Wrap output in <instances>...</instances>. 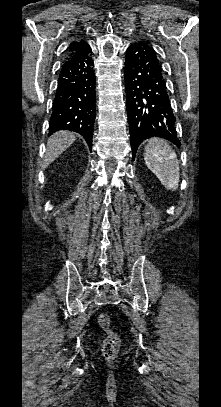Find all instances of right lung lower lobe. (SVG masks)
Returning a JSON list of instances; mask_svg holds the SVG:
<instances>
[{
  "instance_id": "obj_1",
  "label": "right lung lower lobe",
  "mask_w": 221,
  "mask_h": 407,
  "mask_svg": "<svg viewBox=\"0 0 221 407\" xmlns=\"http://www.w3.org/2000/svg\"><path fill=\"white\" fill-rule=\"evenodd\" d=\"M95 75L91 48L86 43L65 58L52 106L49 135L59 130L81 134L92 147L96 116Z\"/></svg>"
}]
</instances>
